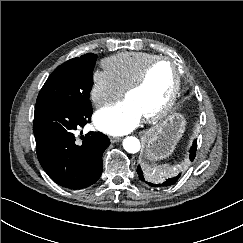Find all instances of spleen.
<instances>
[{
    "label": "spleen",
    "mask_w": 243,
    "mask_h": 243,
    "mask_svg": "<svg viewBox=\"0 0 243 243\" xmlns=\"http://www.w3.org/2000/svg\"><path fill=\"white\" fill-rule=\"evenodd\" d=\"M167 167H168V164H163V165L158 166L157 168L158 169H165Z\"/></svg>",
    "instance_id": "obj_1"
}]
</instances>
